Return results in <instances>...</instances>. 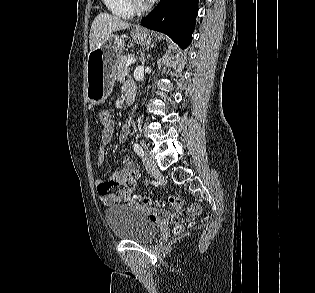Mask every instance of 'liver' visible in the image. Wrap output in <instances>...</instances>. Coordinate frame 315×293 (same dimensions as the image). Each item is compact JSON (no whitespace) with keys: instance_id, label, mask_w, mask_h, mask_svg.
<instances>
[{"instance_id":"liver-1","label":"liver","mask_w":315,"mask_h":293,"mask_svg":"<svg viewBox=\"0 0 315 293\" xmlns=\"http://www.w3.org/2000/svg\"><path fill=\"white\" fill-rule=\"evenodd\" d=\"M130 23L108 13H99L92 22L89 43L90 50L95 49L98 44L107 41L113 32L127 29Z\"/></svg>"}]
</instances>
